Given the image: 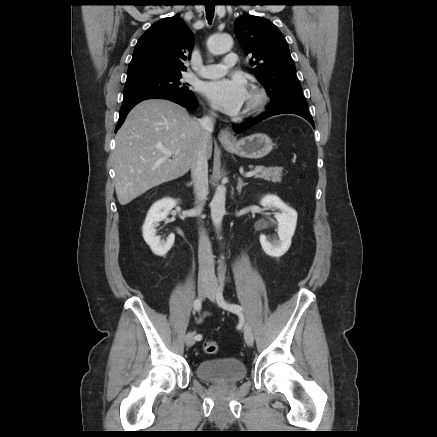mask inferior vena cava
Returning a JSON list of instances; mask_svg holds the SVG:
<instances>
[{
  "label": "inferior vena cava",
  "instance_id": "inferior-vena-cava-1",
  "mask_svg": "<svg viewBox=\"0 0 437 437\" xmlns=\"http://www.w3.org/2000/svg\"><path fill=\"white\" fill-rule=\"evenodd\" d=\"M214 113L211 116H205L199 120L201 127V140L197 150V158L191 166V178L194 186V193L197 201L195 212L200 214L203 203L208 195V158H207V144L211 138V133L214 129ZM199 246H198V262L199 274L198 280L202 283L214 282L215 270L214 259L211 249V243L205 230L201 229L199 232Z\"/></svg>",
  "mask_w": 437,
  "mask_h": 437
}]
</instances>
